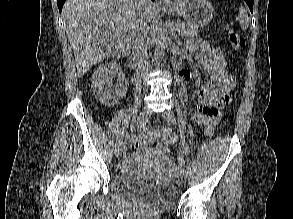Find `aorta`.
<instances>
[{"label": "aorta", "instance_id": "1", "mask_svg": "<svg viewBox=\"0 0 293 219\" xmlns=\"http://www.w3.org/2000/svg\"><path fill=\"white\" fill-rule=\"evenodd\" d=\"M166 45H167V36L160 28L157 33L155 50H154V60L157 64L161 63L164 57Z\"/></svg>", "mask_w": 293, "mask_h": 219}]
</instances>
